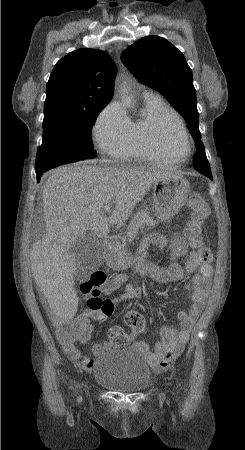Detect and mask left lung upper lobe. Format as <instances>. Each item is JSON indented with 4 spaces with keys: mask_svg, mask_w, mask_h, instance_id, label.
I'll return each mask as SVG.
<instances>
[{
    "mask_svg": "<svg viewBox=\"0 0 245 450\" xmlns=\"http://www.w3.org/2000/svg\"><path fill=\"white\" fill-rule=\"evenodd\" d=\"M121 60L141 83L159 91L173 104L186 120L196 148L202 146L192 71L181 51L164 38L148 36L129 46ZM193 162L199 172L211 171L205 153H195Z\"/></svg>",
    "mask_w": 245,
    "mask_h": 450,
    "instance_id": "5c2ea615",
    "label": "left lung upper lobe"
}]
</instances>
